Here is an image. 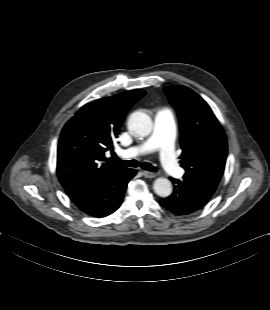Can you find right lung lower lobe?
Masks as SVG:
<instances>
[{
	"label": "right lung lower lobe",
	"mask_w": 270,
	"mask_h": 310,
	"mask_svg": "<svg viewBox=\"0 0 270 310\" xmlns=\"http://www.w3.org/2000/svg\"><path fill=\"white\" fill-rule=\"evenodd\" d=\"M136 171L126 167L98 179L65 186L75 205L93 217H105L115 212L123 201L124 192Z\"/></svg>",
	"instance_id": "98d812e1"
}]
</instances>
